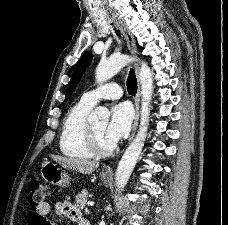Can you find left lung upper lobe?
<instances>
[{"instance_id": "1", "label": "left lung upper lobe", "mask_w": 228, "mask_h": 225, "mask_svg": "<svg viewBox=\"0 0 228 225\" xmlns=\"http://www.w3.org/2000/svg\"><path fill=\"white\" fill-rule=\"evenodd\" d=\"M138 47L141 48L139 45ZM92 56L93 55L91 52H86L78 61L77 65L74 68L71 80L68 84L65 100H67L70 97L72 91L75 89L76 84L78 83L82 74L84 73L85 67H87L90 64Z\"/></svg>"}]
</instances>
